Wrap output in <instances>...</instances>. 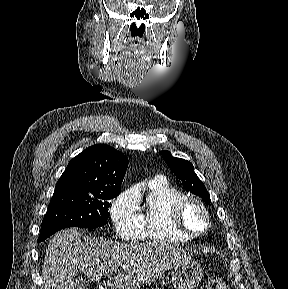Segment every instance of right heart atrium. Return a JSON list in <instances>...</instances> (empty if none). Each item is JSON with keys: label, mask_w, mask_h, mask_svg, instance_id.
<instances>
[{"label": "right heart atrium", "mask_w": 288, "mask_h": 289, "mask_svg": "<svg viewBox=\"0 0 288 289\" xmlns=\"http://www.w3.org/2000/svg\"><path fill=\"white\" fill-rule=\"evenodd\" d=\"M111 219L119 237L134 240L140 234V217L137 202L130 191L121 192L112 202Z\"/></svg>", "instance_id": "right-heart-atrium-1"}]
</instances>
